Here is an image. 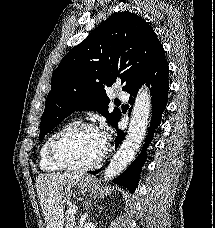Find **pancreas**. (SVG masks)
I'll return each instance as SVG.
<instances>
[{
  "label": "pancreas",
  "instance_id": "cf45deb5",
  "mask_svg": "<svg viewBox=\"0 0 215 228\" xmlns=\"http://www.w3.org/2000/svg\"><path fill=\"white\" fill-rule=\"evenodd\" d=\"M65 220H66L65 228H75L76 216H74L71 210H67Z\"/></svg>",
  "mask_w": 215,
  "mask_h": 228
}]
</instances>
